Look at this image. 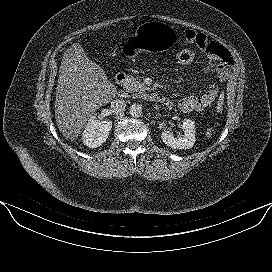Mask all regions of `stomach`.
<instances>
[{
  "mask_svg": "<svg viewBox=\"0 0 272 272\" xmlns=\"http://www.w3.org/2000/svg\"><path fill=\"white\" fill-rule=\"evenodd\" d=\"M174 28L164 22L150 21L140 24L135 34L123 46L128 57H134L141 52H158L166 50L176 42Z\"/></svg>",
  "mask_w": 272,
  "mask_h": 272,
  "instance_id": "stomach-1",
  "label": "stomach"
}]
</instances>
